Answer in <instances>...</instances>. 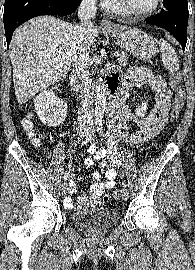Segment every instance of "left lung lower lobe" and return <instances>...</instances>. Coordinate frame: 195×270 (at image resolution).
<instances>
[{"mask_svg":"<svg viewBox=\"0 0 195 270\" xmlns=\"http://www.w3.org/2000/svg\"><path fill=\"white\" fill-rule=\"evenodd\" d=\"M164 8L146 23L169 31L181 44L184 51L187 42L188 3L187 0H163Z\"/></svg>","mask_w":195,"mask_h":270,"instance_id":"left-lung-lower-lobe-1","label":"left lung lower lobe"}]
</instances>
